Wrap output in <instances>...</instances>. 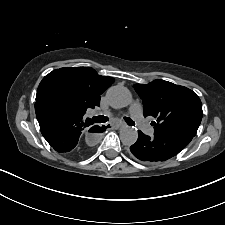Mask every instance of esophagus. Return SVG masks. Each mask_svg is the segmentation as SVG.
Returning <instances> with one entry per match:
<instances>
[{
    "instance_id": "obj_1",
    "label": "esophagus",
    "mask_w": 225,
    "mask_h": 225,
    "mask_svg": "<svg viewBox=\"0 0 225 225\" xmlns=\"http://www.w3.org/2000/svg\"><path fill=\"white\" fill-rule=\"evenodd\" d=\"M111 126H112L113 128L119 129V128H122L124 125H123V124L117 123V124H111Z\"/></svg>"
}]
</instances>
